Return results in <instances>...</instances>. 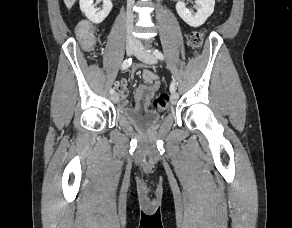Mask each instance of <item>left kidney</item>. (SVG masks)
<instances>
[{"label": "left kidney", "mask_w": 292, "mask_h": 228, "mask_svg": "<svg viewBox=\"0 0 292 228\" xmlns=\"http://www.w3.org/2000/svg\"><path fill=\"white\" fill-rule=\"evenodd\" d=\"M196 2L200 5L196 13L186 8L182 1L176 4L178 15L192 27H199L204 24L207 18L213 13L215 5V0H196Z\"/></svg>", "instance_id": "1"}]
</instances>
